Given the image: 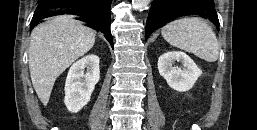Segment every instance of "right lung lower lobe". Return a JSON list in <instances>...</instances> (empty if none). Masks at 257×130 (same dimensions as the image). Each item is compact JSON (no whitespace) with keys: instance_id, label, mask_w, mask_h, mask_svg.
<instances>
[{"instance_id":"1","label":"right lung lower lobe","mask_w":257,"mask_h":130,"mask_svg":"<svg viewBox=\"0 0 257 130\" xmlns=\"http://www.w3.org/2000/svg\"><path fill=\"white\" fill-rule=\"evenodd\" d=\"M112 0L91 1H55L39 0L36 11L30 23V29L42 22L46 17L57 14H73L77 19L87 23L88 27L105 34V38L113 47V38L110 31V6ZM70 8L72 12H54L53 9Z\"/></svg>"}]
</instances>
